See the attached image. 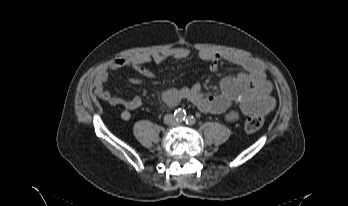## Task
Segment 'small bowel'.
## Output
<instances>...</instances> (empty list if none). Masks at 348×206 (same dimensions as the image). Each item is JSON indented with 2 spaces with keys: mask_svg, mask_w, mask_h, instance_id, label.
Returning a JSON list of instances; mask_svg holds the SVG:
<instances>
[{
  "mask_svg": "<svg viewBox=\"0 0 348 206\" xmlns=\"http://www.w3.org/2000/svg\"><path fill=\"white\" fill-rule=\"evenodd\" d=\"M188 56L189 50L180 47L118 58L97 73L93 85L94 93L99 100L109 105L122 106L121 118L128 121L131 118V112L140 108L144 102L138 96L125 98L113 95L106 88L110 71L134 69L142 78H131L128 83L140 85L143 84L144 79L153 77V73L144 66L145 64L160 63L168 59L182 60ZM199 57L210 64L211 71H216L222 60H228L243 68L244 71L225 76L221 81L222 92L216 95H204L199 82H194L190 86L166 89L162 92V96L168 105L175 106L185 99L204 113L224 115L229 122H236L242 116L267 114L274 109L275 99L271 95L273 86L267 79L261 64L242 55H224L209 50H201Z\"/></svg>",
  "mask_w": 348,
  "mask_h": 206,
  "instance_id": "small-bowel-1",
  "label": "small bowel"
}]
</instances>
